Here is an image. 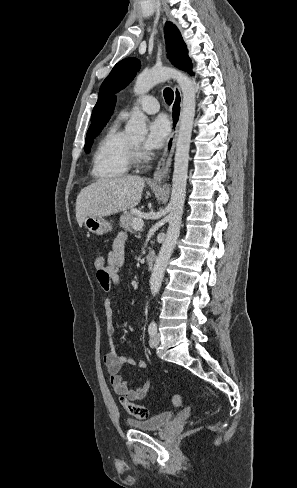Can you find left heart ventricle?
Wrapping results in <instances>:
<instances>
[{"instance_id":"obj_1","label":"left heart ventricle","mask_w":297,"mask_h":488,"mask_svg":"<svg viewBox=\"0 0 297 488\" xmlns=\"http://www.w3.org/2000/svg\"><path fill=\"white\" fill-rule=\"evenodd\" d=\"M134 143L137 144V145H139L141 143V140H137Z\"/></svg>"}]
</instances>
